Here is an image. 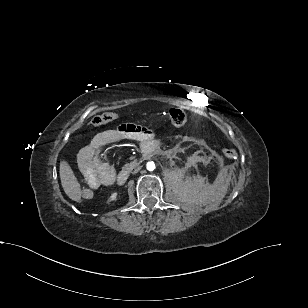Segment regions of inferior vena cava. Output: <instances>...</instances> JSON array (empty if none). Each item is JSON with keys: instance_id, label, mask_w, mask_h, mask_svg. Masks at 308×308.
Segmentation results:
<instances>
[{"instance_id": "602c4592", "label": "inferior vena cava", "mask_w": 308, "mask_h": 308, "mask_svg": "<svg viewBox=\"0 0 308 308\" xmlns=\"http://www.w3.org/2000/svg\"><path fill=\"white\" fill-rule=\"evenodd\" d=\"M139 170H140V168H137V169L134 170L133 173H137Z\"/></svg>"}]
</instances>
